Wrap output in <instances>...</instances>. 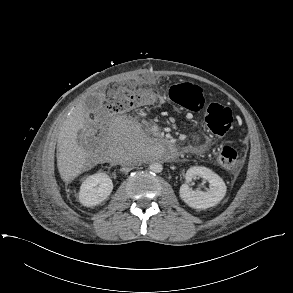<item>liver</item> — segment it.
<instances>
[{
	"label": "liver",
	"mask_w": 293,
	"mask_h": 293,
	"mask_svg": "<svg viewBox=\"0 0 293 293\" xmlns=\"http://www.w3.org/2000/svg\"><path fill=\"white\" fill-rule=\"evenodd\" d=\"M82 105L74 108L60 127L57 141V167L63 181H71L84 171L86 153L78 145L77 133L84 128Z\"/></svg>",
	"instance_id": "1"
}]
</instances>
